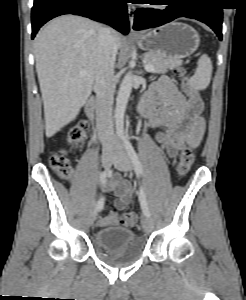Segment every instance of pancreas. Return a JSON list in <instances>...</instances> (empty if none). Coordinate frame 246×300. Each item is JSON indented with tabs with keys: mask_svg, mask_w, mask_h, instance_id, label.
<instances>
[{
	"mask_svg": "<svg viewBox=\"0 0 246 300\" xmlns=\"http://www.w3.org/2000/svg\"><path fill=\"white\" fill-rule=\"evenodd\" d=\"M144 57V63L148 65H152L155 68L156 73H165L168 71V69H173L178 64L171 63L163 58H161L159 55L155 53H145L143 55Z\"/></svg>",
	"mask_w": 246,
	"mask_h": 300,
	"instance_id": "pancreas-1",
	"label": "pancreas"
}]
</instances>
